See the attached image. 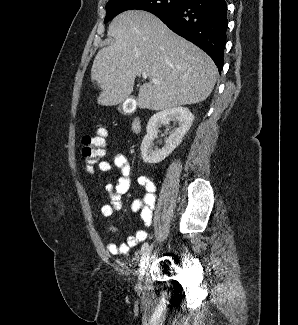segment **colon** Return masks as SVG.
I'll list each match as a JSON object with an SVG mask.
<instances>
[{"label":"colon","instance_id":"1","mask_svg":"<svg viewBox=\"0 0 298 325\" xmlns=\"http://www.w3.org/2000/svg\"><path fill=\"white\" fill-rule=\"evenodd\" d=\"M105 135L104 129H98L95 135H85L82 138L80 154L89 173L94 171L104 155Z\"/></svg>","mask_w":298,"mask_h":325}]
</instances>
